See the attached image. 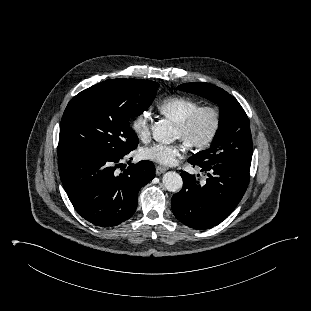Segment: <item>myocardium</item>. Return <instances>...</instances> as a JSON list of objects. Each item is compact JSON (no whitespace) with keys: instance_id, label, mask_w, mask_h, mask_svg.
Returning a JSON list of instances; mask_svg holds the SVG:
<instances>
[{"instance_id":"myocardium-1","label":"myocardium","mask_w":311,"mask_h":311,"mask_svg":"<svg viewBox=\"0 0 311 311\" xmlns=\"http://www.w3.org/2000/svg\"><path fill=\"white\" fill-rule=\"evenodd\" d=\"M205 114H209L212 118V125L207 135L200 139L194 140L191 138V133L198 120ZM222 122L221 111L213 105L200 106L192 112L186 119L177 125V129L181 133V140L191 149L203 150L210 146L217 137Z\"/></svg>"}]
</instances>
